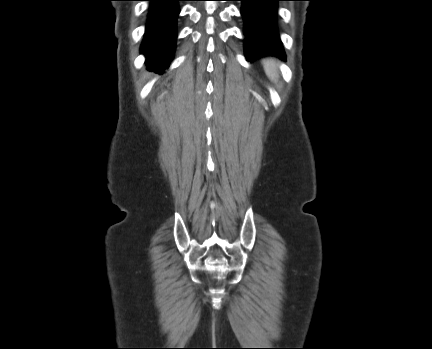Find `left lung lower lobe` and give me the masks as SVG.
Masks as SVG:
<instances>
[{
  "label": "left lung lower lobe",
  "mask_w": 432,
  "mask_h": 349,
  "mask_svg": "<svg viewBox=\"0 0 432 349\" xmlns=\"http://www.w3.org/2000/svg\"><path fill=\"white\" fill-rule=\"evenodd\" d=\"M245 23V54L248 61L264 55L285 59L276 28L277 2L281 0H239Z\"/></svg>",
  "instance_id": "left-lung-lower-lobe-1"
}]
</instances>
